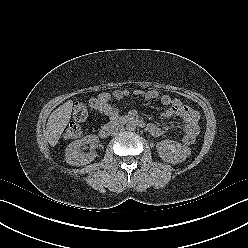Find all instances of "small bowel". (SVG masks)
<instances>
[{
    "mask_svg": "<svg viewBox=\"0 0 248 248\" xmlns=\"http://www.w3.org/2000/svg\"><path fill=\"white\" fill-rule=\"evenodd\" d=\"M130 94V91L127 89L116 90L112 94H101L99 97L102 98V104L99 107V111L110 118H115L118 115L119 102L129 97ZM134 95L146 101L159 98L161 104L167 107L162 114L165 119H170L174 116L180 117L184 121L183 131L185 136L196 137L199 134L200 114L196 109L183 104L179 99L172 98L168 94L160 95L154 89L147 91L136 90L134 91ZM148 130L153 136H160L162 134V129L156 124H149Z\"/></svg>",
    "mask_w": 248,
    "mask_h": 248,
    "instance_id": "obj_1",
    "label": "small bowel"
}]
</instances>
